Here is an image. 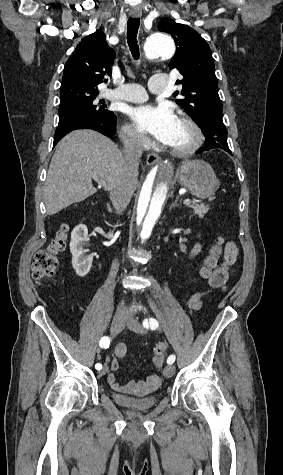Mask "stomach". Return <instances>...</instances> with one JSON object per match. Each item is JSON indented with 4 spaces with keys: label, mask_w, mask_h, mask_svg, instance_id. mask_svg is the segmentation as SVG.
Masks as SVG:
<instances>
[{
    "label": "stomach",
    "mask_w": 283,
    "mask_h": 475,
    "mask_svg": "<svg viewBox=\"0 0 283 475\" xmlns=\"http://www.w3.org/2000/svg\"><path fill=\"white\" fill-rule=\"evenodd\" d=\"M175 178L183 188L190 190L192 196L202 200L215 194L219 186L214 170L204 160H185Z\"/></svg>",
    "instance_id": "1"
}]
</instances>
